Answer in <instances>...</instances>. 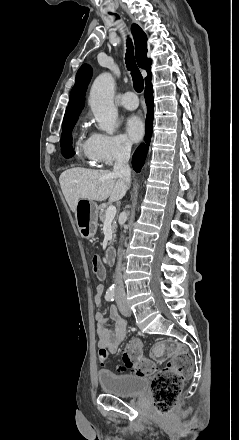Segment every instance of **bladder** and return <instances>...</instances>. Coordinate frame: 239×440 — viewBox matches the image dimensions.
I'll list each match as a JSON object with an SVG mask.
<instances>
[{
  "label": "bladder",
  "mask_w": 239,
  "mask_h": 440,
  "mask_svg": "<svg viewBox=\"0 0 239 440\" xmlns=\"http://www.w3.org/2000/svg\"><path fill=\"white\" fill-rule=\"evenodd\" d=\"M100 388L107 394L128 398L143 394L149 384L145 377L117 375L109 370H100L97 374Z\"/></svg>",
  "instance_id": "obj_1"
}]
</instances>
